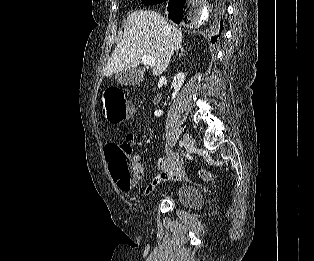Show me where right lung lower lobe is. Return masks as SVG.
<instances>
[{
  "instance_id": "obj_1",
  "label": "right lung lower lobe",
  "mask_w": 314,
  "mask_h": 261,
  "mask_svg": "<svg viewBox=\"0 0 314 261\" xmlns=\"http://www.w3.org/2000/svg\"><path fill=\"white\" fill-rule=\"evenodd\" d=\"M166 3L168 4V16L171 20H173L175 23H180L182 20L186 19L185 11L187 10L186 4L183 0H162L159 3ZM222 30V24L220 28V32ZM220 34L215 35L211 38V42L215 43L218 39Z\"/></svg>"
}]
</instances>
